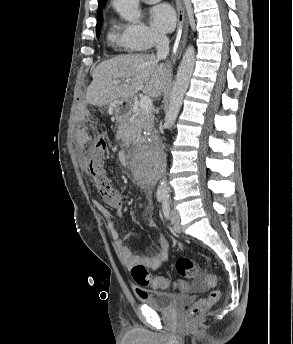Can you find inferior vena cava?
Masks as SVG:
<instances>
[{"label":"inferior vena cava","mask_w":293,"mask_h":344,"mask_svg":"<svg viewBox=\"0 0 293 344\" xmlns=\"http://www.w3.org/2000/svg\"><path fill=\"white\" fill-rule=\"evenodd\" d=\"M154 39L157 57L159 59H165L169 53V38L164 34L156 33Z\"/></svg>","instance_id":"1"}]
</instances>
